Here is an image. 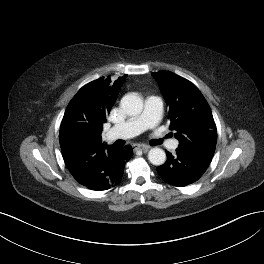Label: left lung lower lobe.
Returning <instances> with one entry per match:
<instances>
[{"mask_svg": "<svg viewBox=\"0 0 264 264\" xmlns=\"http://www.w3.org/2000/svg\"><path fill=\"white\" fill-rule=\"evenodd\" d=\"M166 162L157 167L160 177L168 184L184 187L200 179L212 160V155L176 150L173 156L167 152Z\"/></svg>", "mask_w": 264, "mask_h": 264, "instance_id": "0a47b994", "label": "left lung lower lobe"}]
</instances>
